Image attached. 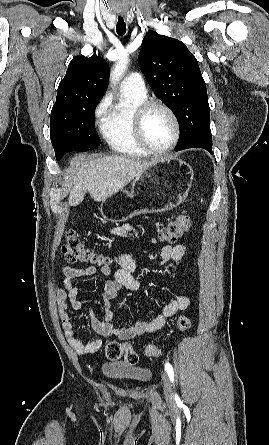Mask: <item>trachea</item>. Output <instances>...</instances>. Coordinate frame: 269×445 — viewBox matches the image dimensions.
Instances as JSON below:
<instances>
[{
    "label": "trachea",
    "instance_id": "trachea-1",
    "mask_svg": "<svg viewBox=\"0 0 269 445\" xmlns=\"http://www.w3.org/2000/svg\"><path fill=\"white\" fill-rule=\"evenodd\" d=\"M116 32L119 36H123L126 33V24L124 22L123 17H118Z\"/></svg>",
    "mask_w": 269,
    "mask_h": 445
}]
</instances>
